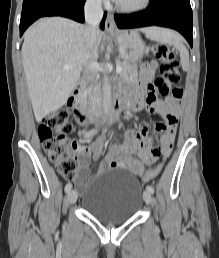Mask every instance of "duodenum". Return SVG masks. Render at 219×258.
<instances>
[{
  "label": "duodenum",
  "mask_w": 219,
  "mask_h": 258,
  "mask_svg": "<svg viewBox=\"0 0 219 258\" xmlns=\"http://www.w3.org/2000/svg\"><path fill=\"white\" fill-rule=\"evenodd\" d=\"M85 93L86 86L83 84L79 85L68 101L69 106L74 111L75 117L80 124L108 123L119 118L124 106L122 97H117L110 105L92 108L85 104Z\"/></svg>",
  "instance_id": "duodenum-1"
}]
</instances>
